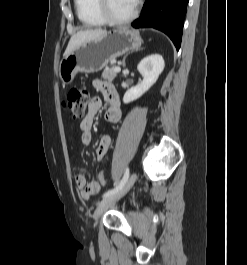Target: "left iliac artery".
Wrapping results in <instances>:
<instances>
[{
    "mask_svg": "<svg viewBox=\"0 0 247 265\" xmlns=\"http://www.w3.org/2000/svg\"><path fill=\"white\" fill-rule=\"evenodd\" d=\"M128 177H129V168H126V171H125V173H124V176H123L122 180H121L118 184H116V186H115L113 189L108 190L107 192H105V193L103 194V198H105V197H107V196H109V195H111V194H114V193L117 192L120 188H122V186L126 183Z\"/></svg>",
    "mask_w": 247,
    "mask_h": 265,
    "instance_id": "obj_1",
    "label": "left iliac artery"
}]
</instances>
